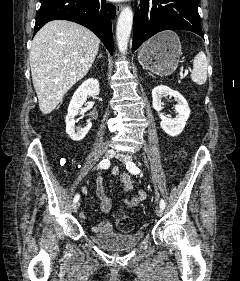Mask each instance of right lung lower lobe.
Listing matches in <instances>:
<instances>
[{"instance_id":"obj_1","label":"right lung lower lobe","mask_w":240,"mask_h":281,"mask_svg":"<svg viewBox=\"0 0 240 281\" xmlns=\"http://www.w3.org/2000/svg\"><path fill=\"white\" fill-rule=\"evenodd\" d=\"M34 35L47 22L64 19L79 23L94 32L110 54L113 53L111 18L116 7L105 0H40Z\"/></svg>"}]
</instances>
